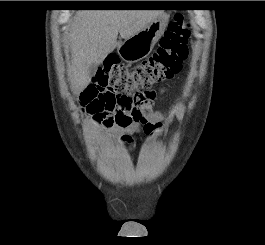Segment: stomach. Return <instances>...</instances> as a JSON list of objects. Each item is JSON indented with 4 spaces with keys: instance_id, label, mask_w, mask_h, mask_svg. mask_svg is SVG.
Returning <instances> with one entry per match:
<instances>
[{
    "instance_id": "0dacf381",
    "label": "stomach",
    "mask_w": 265,
    "mask_h": 245,
    "mask_svg": "<svg viewBox=\"0 0 265 245\" xmlns=\"http://www.w3.org/2000/svg\"><path fill=\"white\" fill-rule=\"evenodd\" d=\"M168 21L169 15L163 13L137 34L120 43L117 46L120 58L127 63H135L146 58L164 34Z\"/></svg>"
}]
</instances>
